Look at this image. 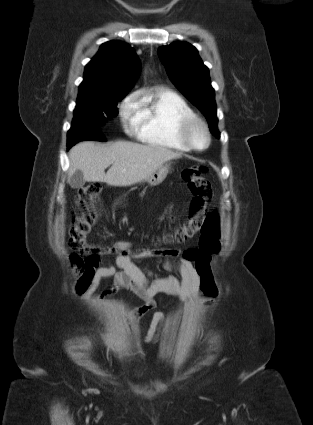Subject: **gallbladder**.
<instances>
[{"mask_svg": "<svg viewBox=\"0 0 313 425\" xmlns=\"http://www.w3.org/2000/svg\"><path fill=\"white\" fill-rule=\"evenodd\" d=\"M69 184L72 188H81L85 184V179L81 171L77 170L70 177Z\"/></svg>", "mask_w": 313, "mask_h": 425, "instance_id": "1", "label": "gallbladder"}]
</instances>
